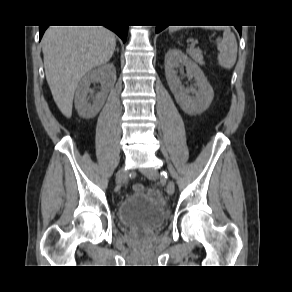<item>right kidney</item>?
I'll list each match as a JSON object with an SVG mask.
<instances>
[{"label":"right kidney","mask_w":292,"mask_h":292,"mask_svg":"<svg viewBox=\"0 0 292 292\" xmlns=\"http://www.w3.org/2000/svg\"><path fill=\"white\" fill-rule=\"evenodd\" d=\"M102 81V90L95 96L88 95L90 84ZM116 82V69L112 63L103 64L89 71L79 82L75 94V107L78 114L86 119L95 117L106 100L107 94Z\"/></svg>","instance_id":"right-kidney-1"}]
</instances>
